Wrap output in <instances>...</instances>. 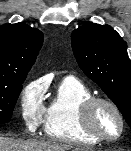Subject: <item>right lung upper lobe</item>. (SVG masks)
<instances>
[{
  "instance_id": "cb5924a9",
  "label": "right lung upper lobe",
  "mask_w": 131,
  "mask_h": 151,
  "mask_svg": "<svg viewBox=\"0 0 131 151\" xmlns=\"http://www.w3.org/2000/svg\"><path fill=\"white\" fill-rule=\"evenodd\" d=\"M43 43V33L25 23L0 26V79L26 78Z\"/></svg>"
}]
</instances>
